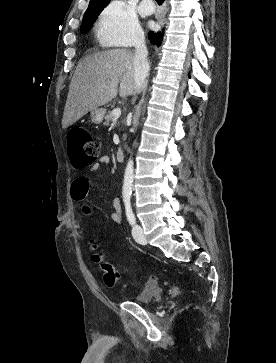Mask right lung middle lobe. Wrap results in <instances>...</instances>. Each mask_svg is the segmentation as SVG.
Masks as SVG:
<instances>
[{"mask_svg":"<svg viewBox=\"0 0 276 363\" xmlns=\"http://www.w3.org/2000/svg\"><path fill=\"white\" fill-rule=\"evenodd\" d=\"M105 4H91L89 5L88 9L86 10L83 22L81 24L80 31L82 33H87L91 27L93 26V23L95 22L98 15L103 10Z\"/></svg>","mask_w":276,"mask_h":363,"instance_id":"right-lung-middle-lobe-1","label":"right lung middle lobe"}]
</instances>
